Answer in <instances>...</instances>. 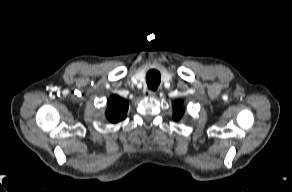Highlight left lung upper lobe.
<instances>
[{
	"instance_id": "left-lung-upper-lobe-1",
	"label": "left lung upper lobe",
	"mask_w": 292,
	"mask_h": 192,
	"mask_svg": "<svg viewBox=\"0 0 292 192\" xmlns=\"http://www.w3.org/2000/svg\"><path fill=\"white\" fill-rule=\"evenodd\" d=\"M184 114L183 101L178 100L173 105V119L179 120Z\"/></svg>"
}]
</instances>
